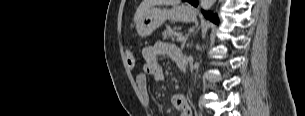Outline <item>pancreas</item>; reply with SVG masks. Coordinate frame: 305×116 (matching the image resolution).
<instances>
[{"label": "pancreas", "mask_w": 305, "mask_h": 116, "mask_svg": "<svg viewBox=\"0 0 305 116\" xmlns=\"http://www.w3.org/2000/svg\"><path fill=\"white\" fill-rule=\"evenodd\" d=\"M178 32H176V29H172L170 26H166V29L164 30V32L162 33L163 39H174V37H178Z\"/></svg>", "instance_id": "cf45deb5"}]
</instances>
